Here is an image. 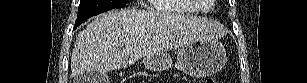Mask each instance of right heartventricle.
Returning a JSON list of instances; mask_svg holds the SVG:
<instances>
[{
	"label": "right heart ventricle",
	"instance_id": "right-heart-ventricle-1",
	"mask_svg": "<svg viewBox=\"0 0 307 83\" xmlns=\"http://www.w3.org/2000/svg\"><path fill=\"white\" fill-rule=\"evenodd\" d=\"M196 9L189 0H153V10L165 15L191 14L196 13Z\"/></svg>",
	"mask_w": 307,
	"mask_h": 83
}]
</instances>
